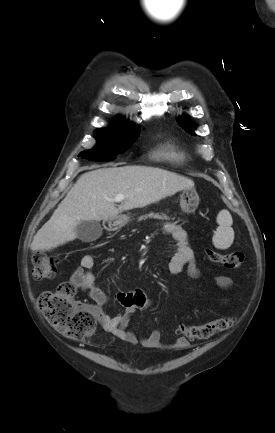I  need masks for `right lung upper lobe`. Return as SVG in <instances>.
Segmentation results:
<instances>
[{
  "mask_svg": "<svg viewBox=\"0 0 275 433\" xmlns=\"http://www.w3.org/2000/svg\"><path fill=\"white\" fill-rule=\"evenodd\" d=\"M117 125H126L124 122H120L119 124H117ZM116 125V126H117Z\"/></svg>",
  "mask_w": 275,
  "mask_h": 433,
  "instance_id": "1",
  "label": "right lung upper lobe"
}]
</instances>
